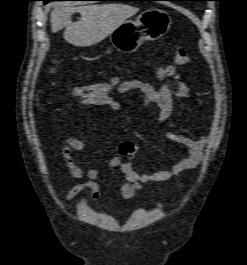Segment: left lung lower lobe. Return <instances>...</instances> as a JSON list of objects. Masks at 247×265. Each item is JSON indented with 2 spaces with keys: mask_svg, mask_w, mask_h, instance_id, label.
<instances>
[{
  "mask_svg": "<svg viewBox=\"0 0 247 265\" xmlns=\"http://www.w3.org/2000/svg\"><path fill=\"white\" fill-rule=\"evenodd\" d=\"M171 1H175V0H171ZM178 1H182V0H178ZM191 1H194V0H191Z\"/></svg>",
  "mask_w": 247,
  "mask_h": 265,
  "instance_id": "0a47b994",
  "label": "left lung lower lobe"
}]
</instances>
